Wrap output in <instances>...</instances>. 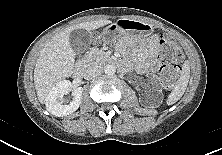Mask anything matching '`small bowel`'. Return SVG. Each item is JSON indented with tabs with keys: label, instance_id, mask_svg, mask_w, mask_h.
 <instances>
[{
	"label": "small bowel",
	"instance_id": "obj_1",
	"mask_svg": "<svg viewBox=\"0 0 222 155\" xmlns=\"http://www.w3.org/2000/svg\"><path fill=\"white\" fill-rule=\"evenodd\" d=\"M124 49V47H122ZM158 52L157 39L151 38L148 41L147 46L144 49V55L147 58V61H140V68L144 69L146 67L155 68L156 66V55Z\"/></svg>",
	"mask_w": 222,
	"mask_h": 155
}]
</instances>
